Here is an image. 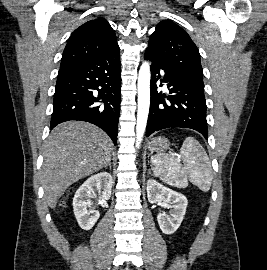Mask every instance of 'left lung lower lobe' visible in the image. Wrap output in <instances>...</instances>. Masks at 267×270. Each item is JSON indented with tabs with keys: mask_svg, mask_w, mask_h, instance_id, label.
<instances>
[{
	"mask_svg": "<svg viewBox=\"0 0 267 270\" xmlns=\"http://www.w3.org/2000/svg\"><path fill=\"white\" fill-rule=\"evenodd\" d=\"M144 58L151 61V101L146 136L166 128H189L198 131L206 139V100L204 87L175 74L156 60L147 50ZM160 73L165 77L161 79ZM167 83L169 96L157 92V82ZM162 86V84H161ZM164 97L169 100L166 102Z\"/></svg>",
	"mask_w": 267,
	"mask_h": 270,
	"instance_id": "1",
	"label": "left lung lower lobe"
}]
</instances>
